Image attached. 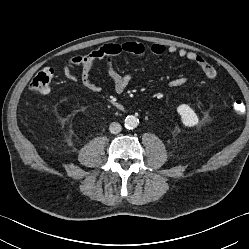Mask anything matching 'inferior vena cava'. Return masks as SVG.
I'll return each instance as SVG.
<instances>
[{
    "label": "inferior vena cava",
    "mask_w": 249,
    "mask_h": 249,
    "mask_svg": "<svg viewBox=\"0 0 249 249\" xmlns=\"http://www.w3.org/2000/svg\"><path fill=\"white\" fill-rule=\"evenodd\" d=\"M121 130H122V127L118 122H113L109 126V131L112 134H117V133L121 132Z\"/></svg>",
    "instance_id": "602c4592"
}]
</instances>
